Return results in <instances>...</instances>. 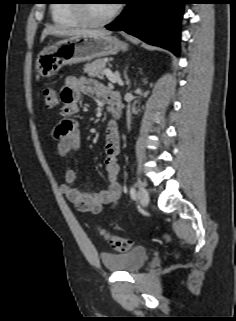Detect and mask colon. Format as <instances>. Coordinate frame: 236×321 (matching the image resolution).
<instances>
[{
	"instance_id": "obj_1",
	"label": "colon",
	"mask_w": 236,
	"mask_h": 321,
	"mask_svg": "<svg viewBox=\"0 0 236 321\" xmlns=\"http://www.w3.org/2000/svg\"><path fill=\"white\" fill-rule=\"evenodd\" d=\"M43 103L47 108H54L58 103L57 91L53 88H45L43 91ZM102 236L108 241L114 250L124 253L130 250L131 241L127 238L117 236L106 229H100Z\"/></svg>"
}]
</instances>
